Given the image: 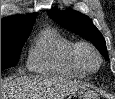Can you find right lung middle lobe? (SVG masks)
Instances as JSON below:
<instances>
[{
    "label": "right lung middle lobe",
    "mask_w": 115,
    "mask_h": 99,
    "mask_svg": "<svg viewBox=\"0 0 115 99\" xmlns=\"http://www.w3.org/2000/svg\"><path fill=\"white\" fill-rule=\"evenodd\" d=\"M28 36L29 34L1 36V70L17 64Z\"/></svg>",
    "instance_id": "dd1d6c3e"
}]
</instances>
